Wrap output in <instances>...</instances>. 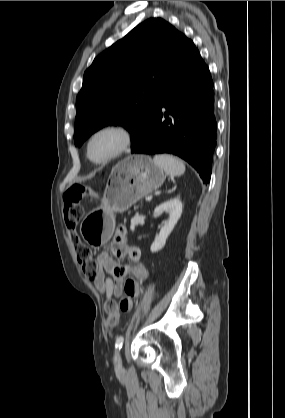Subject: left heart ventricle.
<instances>
[{"label":"left heart ventricle","instance_id":"1","mask_svg":"<svg viewBox=\"0 0 285 418\" xmlns=\"http://www.w3.org/2000/svg\"><path fill=\"white\" fill-rule=\"evenodd\" d=\"M119 138L113 133H104L95 138L90 146L93 159L100 160L110 154L118 145Z\"/></svg>","mask_w":285,"mask_h":418}]
</instances>
